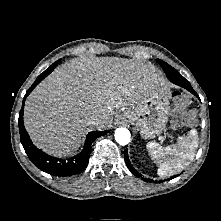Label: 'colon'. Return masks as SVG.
Segmentation results:
<instances>
[{"label":"colon","instance_id":"5ec220e1","mask_svg":"<svg viewBox=\"0 0 221 221\" xmlns=\"http://www.w3.org/2000/svg\"><path fill=\"white\" fill-rule=\"evenodd\" d=\"M189 105V97L186 93L180 92L178 95L174 97V106L176 112L181 114V120L183 123H187L192 120V115L190 113H186V109ZM175 123L177 124L178 121L176 120Z\"/></svg>","mask_w":221,"mask_h":221}]
</instances>
